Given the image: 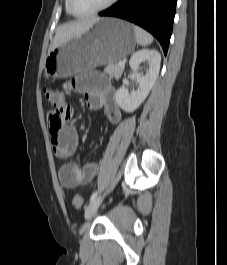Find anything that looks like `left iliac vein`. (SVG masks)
<instances>
[{
  "instance_id": "4c4485c4",
  "label": "left iliac vein",
  "mask_w": 227,
  "mask_h": 265,
  "mask_svg": "<svg viewBox=\"0 0 227 265\" xmlns=\"http://www.w3.org/2000/svg\"><path fill=\"white\" fill-rule=\"evenodd\" d=\"M102 199H103V197L99 196L87 206V208L85 209V219L86 220L90 219L93 216V214L96 212V210L100 206Z\"/></svg>"
}]
</instances>
